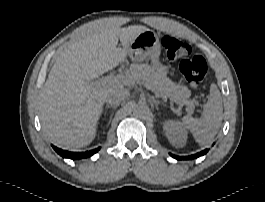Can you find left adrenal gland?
Segmentation results:
<instances>
[{
  "instance_id": "1",
  "label": "left adrenal gland",
  "mask_w": 265,
  "mask_h": 202,
  "mask_svg": "<svg viewBox=\"0 0 265 202\" xmlns=\"http://www.w3.org/2000/svg\"><path fill=\"white\" fill-rule=\"evenodd\" d=\"M153 103L155 104V106L158 110L159 109L158 106H159L160 102L153 98Z\"/></svg>"
}]
</instances>
